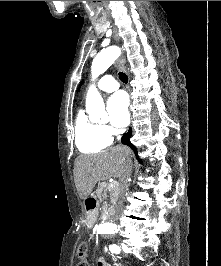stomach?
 I'll return each instance as SVG.
<instances>
[{
  "mask_svg": "<svg viewBox=\"0 0 221 266\" xmlns=\"http://www.w3.org/2000/svg\"><path fill=\"white\" fill-rule=\"evenodd\" d=\"M87 215H88V217L93 218V213L88 212Z\"/></svg>",
  "mask_w": 221,
  "mask_h": 266,
  "instance_id": "stomach-1",
  "label": "stomach"
}]
</instances>
